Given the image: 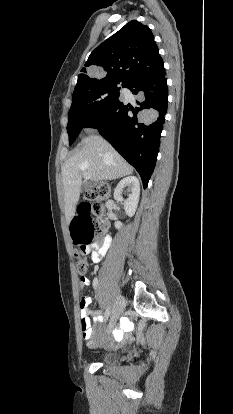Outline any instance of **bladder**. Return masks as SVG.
I'll use <instances>...</instances> for the list:
<instances>
[{"label": "bladder", "mask_w": 233, "mask_h": 414, "mask_svg": "<svg viewBox=\"0 0 233 414\" xmlns=\"http://www.w3.org/2000/svg\"><path fill=\"white\" fill-rule=\"evenodd\" d=\"M103 363L111 364L117 360V355L114 353H106L101 358Z\"/></svg>", "instance_id": "obj_1"}]
</instances>
